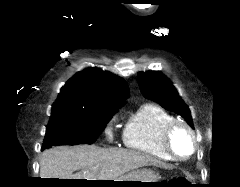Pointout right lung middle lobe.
Wrapping results in <instances>:
<instances>
[{"label":"right lung middle lobe","instance_id":"1","mask_svg":"<svg viewBox=\"0 0 240 187\" xmlns=\"http://www.w3.org/2000/svg\"><path fill=\"white\" fill-rule=\"evenodd\" d=\"M115 111L52 108L43 149L57 145L92 144Z\"/></svg>","mask_w":240,"mask_h":187}]
</instances>
